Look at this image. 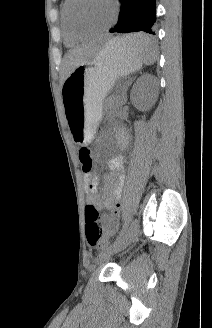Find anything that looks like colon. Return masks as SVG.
<instances>
[{"instance_id": "1", "label": "colon", "mask_w": 212, "mask_h": 328, "mask_svg": "<svg viewBox=\"0 0 212 328\" xmlns=\"http://www.w3.org/2000/svg\"><path fill=\"white\" fill-rule=\"evenodd\" d=\"M79 159L82 163V169L84 172L88 173L92 170V156L91 151L87 147H81L79 149ZM100 217V213L98 209L89 204L85 208V234L87 242L92 247H102L105 245V241L103 239L102 230L99 226L98 220Z\"/></svg>"}]
</instances>
